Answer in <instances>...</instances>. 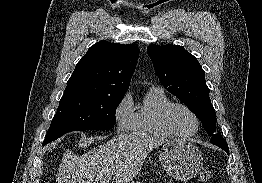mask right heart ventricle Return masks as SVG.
Segmentation results:
<instances>
[{
  "instance_id": "1",
  "label": "right heart ventricle",
  "mask_w": 262,
  "mask_h": 183,
  "mask_svg": "<svg viewBox=\"0 0 262 183\" xmlns=\"http://www.w3.org/2000/svg\"><path fill=\"white\" fill-rule=\"evenodd\" d=\"M171 103L169 97L160 88H151L134 114L131 131L134 135L146 138H168L161 127L162 111Z\"/></svg>"
}]
</instances>
